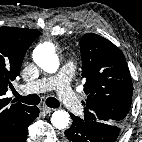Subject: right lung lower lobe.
Returning a JSON list of instances; mask_svg holds the SVG:
<instances>
[{
    "label": "right lung lower lobe",
    "mask_w": 142,
    "mask_h": 142,
    "mask_svg": "<svg viewBox=\"0 0 142 142\" xmlns=\"http://www.w3.org/2000/svg\"><path fill=\"white\" fill-rule=\"evenodd\" d=\"M39 115V109L37 107H30L27 116L21 121V123L15 128L13 134L4 142H25L28 133V126Z\"/></svg>",
    "instance_id": "right-lung-lower-lobe-1"
}]
</instances>
